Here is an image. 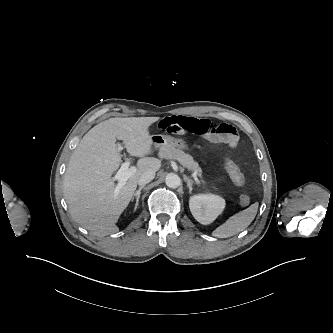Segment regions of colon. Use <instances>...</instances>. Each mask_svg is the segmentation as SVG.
I'll list each match as a JSON object with an SVG mask.
<instances>
[{"label":"colon","instance_id":"5ec220e1","mask_svg":"<svg viewBox=\"0 0 333 333\" xmlns=\"http://www.w3.org/2000/svg\"><path fill=\"white\" fill-rule=\"evenodd\" d=\"M224 167L233 183L236 185H244L246 183V178L236 163L231 160H226ZM249 203L250 197L248 195L243 194L240 196L241 205L246 206Z\"/></svg>","mask_w":333,"mask_h":333}]
</instances>
